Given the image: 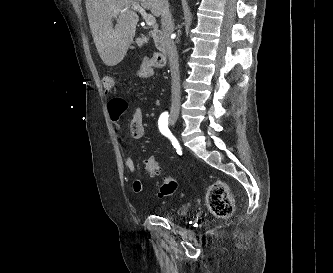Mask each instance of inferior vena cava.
Here are the masks:
<instances>
[{"label":"inferior vena cava","instance_id":"1","mask_svg":"<svg viewBox=\"0 0 333 273\" xmlns=\"http://www.w3.org/2000/svg\"><path fill=\"white\" fill-rule=\"evenodd\" d=\"M160 15L163 38L166 45V50L169 58L170 71H171V93H172V104L171 112L178 113L180 110V73H179V62L176 45L172 40V33L174 31V23L172 15L169 10L168 0H160Z\"/></svg>","mask_w":333,"mask_h":273}]
</instances>
